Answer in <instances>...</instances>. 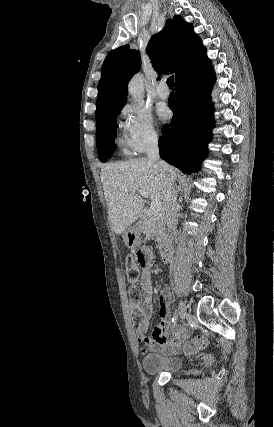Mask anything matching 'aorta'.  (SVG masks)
Returning <instances> with one entry per match:
<instances>
[{
  "mask_svg": "<svg viewBox=\"0 0 274 427\" xmlns=\"http://www.w3.org/2000/svg\"><path fill=\"white\" fill-rule=\"evenodd\" d=\"M128 92L133 100L137 103L141 102L144 98V78L141 74H136L132 77L128 84Z\"/></svg>",
  "mask_w": 274,
  "mask_h": 427,
  "instance_id": "obj_1",
  "label": "aorta"
}]
</instances>
